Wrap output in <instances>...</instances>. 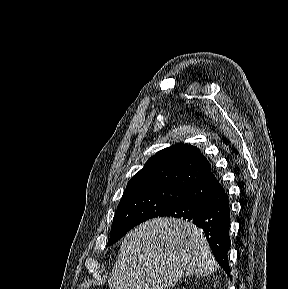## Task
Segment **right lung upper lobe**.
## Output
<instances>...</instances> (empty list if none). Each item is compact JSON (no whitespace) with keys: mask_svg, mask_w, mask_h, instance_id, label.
<instances>
[{"mask_svg":"<svg viewBox=\"0 0 288 289\" xmlns=\"http://www.w3.org/2000/svg\"><path fill=\"white\" fill-rule=\"evenodd\" d=\"M211 171L197 147L176 144L152 156L128 182L125 192L155 187L187 190Z\"/></svg>","mask_w":288,"mask_h":289,"instance_id":"right-lung-upper-lobe-1","label":"right lung upper lobe"}]
</instances>
